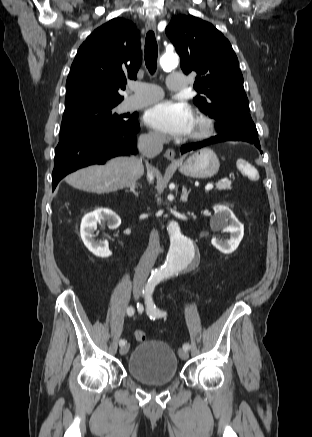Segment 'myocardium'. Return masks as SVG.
Instances as JSON below:
<instances>
[{"label":"myocardium","mask_w":312,"mask_h":437,"mask_svg":"<svg viewBox=\"0 0 312 437\" xmlns=\"http://www.w3.org/2000/svg\"><path fill=\"white\" fill-rule=\"evenodd\" d=\"M215 128L214 120L206 114L199 113L194 120V128L189 136L191 141H200L209 137Z\"/></svg>","instance_id":"myocardium-1"}]
</instances>
